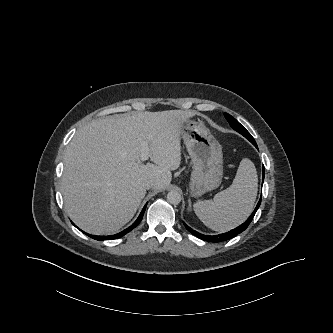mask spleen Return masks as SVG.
Returning <instances> with one entry per match:
<instances>
[{
    "instance_id": "1",
    "label": "spleen",
    "mask_w": 333,
    "mask_h": 333,
    "mask_svg": "<svg viewBox=\"0 0 333 333\" xmlns=\"http://www.w3.org/2000/svg\"><path fill=\"white\" fill-rule=\"evenodd\" d=\"M258 178L253 162H240L232 185L217 193L213 200L198 201L193 205L198 218L215 231L230 230L250 215L257 196Z\"/></svg>"
}]
</instances>
